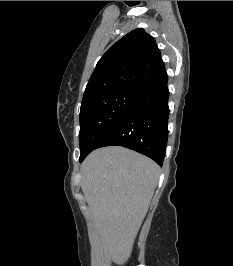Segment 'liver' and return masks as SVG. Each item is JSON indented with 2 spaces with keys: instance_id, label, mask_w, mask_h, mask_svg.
<instances>
[{
  "instance_id": "liver-1",
  "label": "liver",
  "mask_w": 233,
  "mask_h": 266,
  "mask_svg": "<svg viewBox=\"0 0 233 266\" xmlns=\"http://www.w3.org/2000/svg\"><path fill=\"white\" fill-rule=\"evenodd\" d=\"M159 174L153 160L124 147L97 149L82 163V192L101 239L105 264L129 259Z\"/></svg>"
}]
</instances>
